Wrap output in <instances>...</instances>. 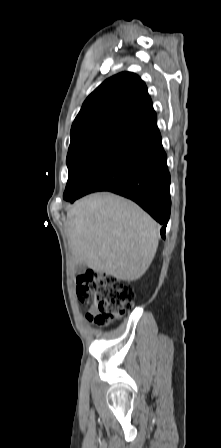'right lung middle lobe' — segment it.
<instances>
[{
    "label": "right lung middle lobe",
    "mask_w": 221,
    "mask_h": 448,
    "mask_svg": "<svg viewBox=\"0 0 221 448\" xmlns=\"http://www.w3.org/2000/svg\"><path fill=\"white\" fill-rule=\"evenodd\" d=\"M115 144L92 143L68 151L66 162L69 177L63 195L65 200L70 201L78 195L85 181Z\"/></svg>",
    "instance_id": "1"
}]
</instances>
